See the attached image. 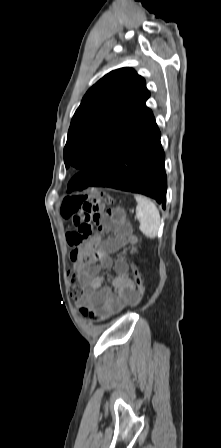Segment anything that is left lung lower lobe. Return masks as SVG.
Instances as JSON below:
<instances>
[{"instance_id":"0a47b994","label":"left lung lower lobe","mask_w":221,"mask_h":448,"mask_svg":"<svg viewBox=\"0 0 221 448\" xmlns=\"http://www.w3.org/2000/svg\"><path fill=\"white\" fill-rule=\"evenodd\" d=\"M160 131L151 113L98 167L75 175L68 192L88 187H111L154 198L165 208L167 177Z\"/></svg>"}]
</instances>
